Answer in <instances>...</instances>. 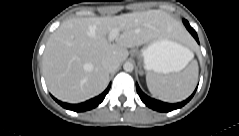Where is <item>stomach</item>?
Segmentation results:
<instances>
[{
    "label": "stomach",
    "mask_w": 239,
    "mask_h": 136,
    "mask_svg": "<svg viewBox=\"0 0 239 136\" xmlns=\"http://www.w3.org/2000/svg\"><path fill=\"white\" fill-rule=\"evenodd\" d=\"M189 49L171 36L151 41L139 55L144 69L149 73L168 74L181 71L189 60Z\"/></svg>",
    "instance_id": "0dacf381"
}]
</instances>
